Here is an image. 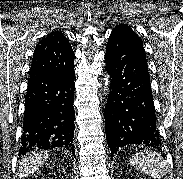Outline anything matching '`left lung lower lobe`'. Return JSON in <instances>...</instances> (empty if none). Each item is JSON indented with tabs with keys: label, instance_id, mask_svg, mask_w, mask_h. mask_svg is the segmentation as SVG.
<instances>
[{
	"label": "left lung lower lobe",
	"instance_id": "left-lung-lower-lobe-1",
	"mask_svg": "<svg viewBox=\"0 0 183 179\" xmlns=\"http://www.w3.org/2000/svg\"><path fill=\"white\" fill-rule=\"evenodd\" d=\"M110 94L105 132L111 157L123 146L160 148L153 95L143 44L135 34L112 31L106 50Z\"/></svg>",
	"mask_w": 183,
	"mask_h": 179
}]
</instances>
